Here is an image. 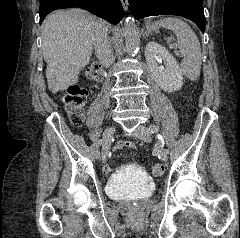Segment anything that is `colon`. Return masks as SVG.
<instances>
[{
	"instance_id": "obj_1",
	"label": "colon",
	"mask_w": 240,
	"mask_h": 238,
	"mask_svg": "<svg viewBox=\"0 0 240 238\" xmlns=\"http://www.w3.org/2000/svg\"><path fill=\"white\" fill-rule=\"evenodd\" d=\"M86 76L91 80H99L101 77V71L98 65H93L88 68ZM87 97V89L79 83L71 84L67 88L64 101L69 120L74 126H81L84 122ZM151 171L154 176L158 177L163 174L164 167L161 164H155Z\"/></svg>"
}]
</instances>
